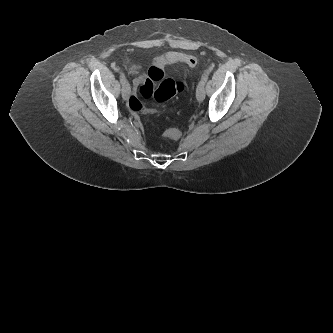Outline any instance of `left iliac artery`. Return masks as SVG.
Segmentation results:
<instances>
[{
    "instance_id": "left-iliac-artery-1",
    "label": "left iliac artery",
    "mask_w": 333,
    "mask_h": 333,
    "mask_svg": "<svg viewBox=\"0 0 333 333\" xmlns=\"http://www.w3.org/2000/svg\"><path fill=\"white\" fill-rule=\"evenodd\" d=\"M207 80H208V73H204V75L201 78L200 83H202L203 85H205V83L207 82Z\"/></svg>"
}]
</instances>
